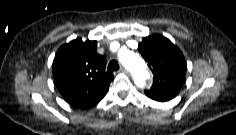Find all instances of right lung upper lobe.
Returning <instances> with one entry per match:
<instances>
[{"label": "right lung upper lobe", "instance_id": "cb5924a9", "mask_svg": "<svg viewBox=\"0 0 236 135\" xmlns=\"http://www.w3.org/2000/svg\"><path fill=\"white\" fill-rule=\"evenodd\" d=\"M96 44L77 38L62 45L55 55L52 71L56 86L74 107L84 108L101 100L114 79L105 71L106 59L97 53Z\"/></svg>", "mask_w": 236, "mask_h": 135}]
</instances>
